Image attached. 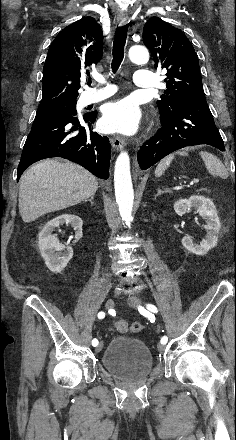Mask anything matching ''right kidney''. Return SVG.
<instances>
[{"label": "right kidney", "instance_id": "1", "mask_svg": "<svg viewBox=\"0 0 236 440\" xmlns=\"http://www.w3.org/2000/svg\"><path fill=\"white\" fill-rule=\"evenodd\" d=\"M63 224H70L75 231L74 243L82 237L83 221L80 217L72 214L60 215L47 222L39 233V249L48 269L54 273H60L69 263L73 256V248L60 243L55 228ZM66 249V250H65Z\"/></svg>", "mask_w": 236, "mask_h": 440}]
</instances>
